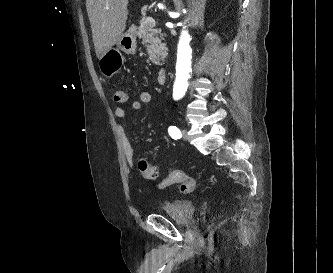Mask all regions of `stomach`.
<instances>
[{
  "label": "stomach",
  "mask_w": 333,
  "mask_h": 273,
  "mask_svg": "<svg viewBox=\"0 0 333 273\" xmlns=\"http://www.w3.org/2000/svg\"><path fill=\"white\" fill-rule=\"evenodd\" d=\"M116 45L117 48L124 53L130 55L134 54L137 47L135 29L130 28L123 33ZM113 52V50L109 49L106 53L101 54L99 67L101 72L106 76L112 75L119 68L120 60L122 59L121 53Z\"/></svg>",
  "instance_id": "0dacf381"
}]
</instances>
